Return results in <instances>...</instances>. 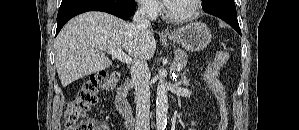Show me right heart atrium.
Wrapping results in <instances>:
<instances>
[{"mask_svg":"<svg viewBox=\"0 0 299 130\" xmlns=\"http://www.w3.org/2000/svg\"><path fill=\"white\" fill-rule=\"evenodd\" d=\"M138 6L140 11L150 18L158 16L161 11V6L156 0H139Z\"/></svg>","mask_w":299,"mask_h":130,"instance_id":"d8ad5b80","label":"right heart atrium"}]
</instances>
